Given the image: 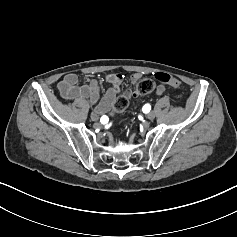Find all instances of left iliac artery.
Returning a JSON list of instances; mask_svg holds the SVG:
<instances>
[{
  "label": "left iliac artery",
  "instance_id": "1",
  "mask_svg": "<svg viewBox=\"0 0 237 237\" xmlns=\"http://www.w3.org/2000/svg\"><path fill=\"white\" fill-rule=\"evenodd\" d=\"M142 110L144 113H148L151 110V106L149 104H145Z\"/></svg>",
  "mask_w": 237,
  "mask_h": 237
}]
</instances>
